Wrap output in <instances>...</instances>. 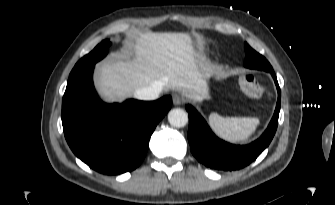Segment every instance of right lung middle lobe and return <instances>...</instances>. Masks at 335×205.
<instances>
[{
	"mask_svg": "<svg viewBox=\"0 0 335 205\" xmlns=\"http://www.w3.org/2000/svg\"><path fill=\"white\" fill-rule=\"evenodd\" d=\"M110 45L111 42L109 40H103L89 54L85 55L76 63L69 76L76 74L88 66L94 65L96 62L104 58L108 53Z\"/></svg>",
	"mask_w": 335,
	"mask_h": 205,
	"instance_id": "right-lung-middle-lobe-1",
	"label": "right lung middle lobe"
}]
</instances>
